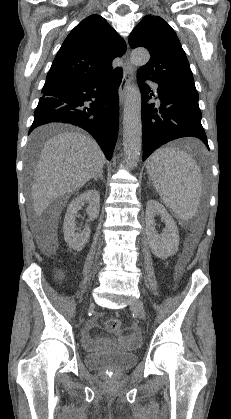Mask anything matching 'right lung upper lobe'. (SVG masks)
<instances>
[{
    "label": "right lung upper lobe",
    "instance_id": "right-lung-upper-lobe-1",
    "mask_svg": "<svg viewBox=\"0 0 231 419\" xmlns=\"http://www.w3.org/2000/svg\"><path fill=\"white\" fill-rule=\"evenodd\" d=\"M126 52L122 37L96 14L81 21L67 36L47 74L44 87L93 80L115 70L111 64Z\"/></svg>",
    "mask_w": 231,
    "mask_h": 419
}]
</instances>
